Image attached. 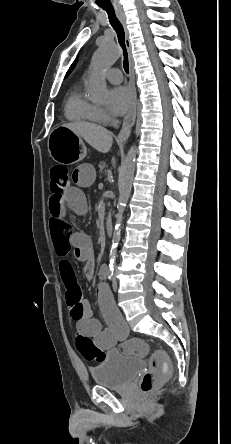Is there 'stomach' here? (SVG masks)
Segmentation results:
<instances>
[{
	"label": "stomach",
	"mask_w": 231,
	"mask_h": 444,
	"mask_svg": "<svg viewBox=\"0 0 231 444\" xmlns=\"http://www.w3.org/2000/svg\"><path fill=\"white\" fill-rule=\"evenodd\" d=\"M48 150L53 160L63 164L81 161L87 153L81 137L64 126H59L51 132Z\"/></svg>",
	"instance_id": "obj_1"
}]
</instances>
